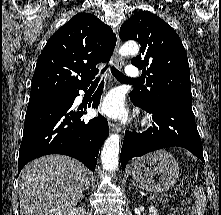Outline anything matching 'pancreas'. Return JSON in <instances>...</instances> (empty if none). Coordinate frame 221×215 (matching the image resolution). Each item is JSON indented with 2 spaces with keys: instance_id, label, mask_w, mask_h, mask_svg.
I'll list each match as a JSON object with an SVG mask.
<instances>
[{
  "instance_id": "1",
  "label": "pancreas",
  "mask_w": 221,
  "mask_h": 215,
  "mask_svg": "<svg viewBox=\"0 0 221 215\" xmlns=\"http://www.w3.org/2000/svg\"><path fill=\"white\" fill-rule=\"evenodd\" d=\"M162 203L164 204L165 207L169 206V201L167 199L163 200Z\"/></svg>"
}]
</instances>
